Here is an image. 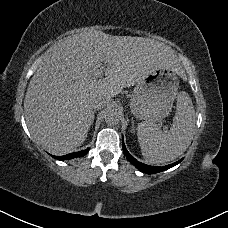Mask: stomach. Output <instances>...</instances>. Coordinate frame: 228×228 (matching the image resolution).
I'll list each match as a JSON object with an SVG mask.
<instances>
[{"label":"stomach","instance_id":"1","mask_svg":"<svg viewBox=\"0 0 228 228\" xmlns=\"http://www.w3.org/2000/svg\"><path fill=\"white\" fill-rule=\"evenodd\" d=\"M175 71L159 68L136 82L130 107L132 113L147 122H160L169 115L178 94Z\"/></svg>","mask_w":228,"mask_h":228}]
</instances>
